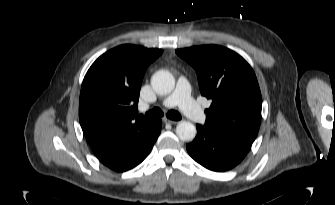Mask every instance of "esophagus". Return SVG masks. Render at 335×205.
I'll use <instances>...</instances> for the list:
<instances>
[{"label": "esophagus", "instance_id": "esophagus-1", "mask_svg": "<svg viewBox=\"0 0 335 205\" xmlns=\"http://www.w3.org/2000/svg\"><path fill=\"white\" fill-rule=\"evenodd\" d=\"M163 121H164L165 123L172 124V125H175V124L178 123V121L171 120V119H168V118H163Z\"/></svg>", "mask_w": 335, "mask_h": 205}]
</instances>
